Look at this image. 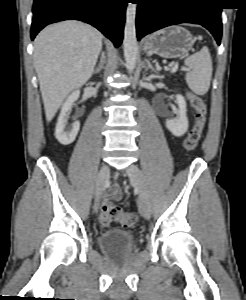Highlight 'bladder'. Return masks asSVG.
<instances>
[{"mask_svg": "<svg viewBox=\"0 0 246 300\" xmlns=\"http://www.w3.org/2000/svg\"><path fill=\"white\" fill-rule=\"evenodd\" d=\"M134 241L132 232L118 228L107 229L97 238L100 249L117 259L125 257L132 250Z\"/></svg>", "mask_w": 246, "mask_h": 300, "instance_id": "obj_1", "label": "bladder"}]
</instances>
